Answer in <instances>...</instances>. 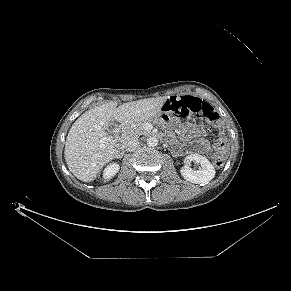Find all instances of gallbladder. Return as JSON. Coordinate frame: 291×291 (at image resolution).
Returning <instances> with one entry per match:
<instances>
[{
	"instance_id": "gallbladder-1",
	"label": "gallbladder",
	"mask_w": 291,
	"mask_h": 291,
	"mask_svg": "<svg viewBox=\"0 0 291 291\" xmlns=\"http://www.w3.org/2000/svg\"><path fill=\"white\" fill-rule=\"evenodd\" d=\"M116 128H117V124L114 122H110L108 134L114 136Z\"/></svg>"
}]
</instances>
